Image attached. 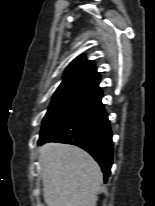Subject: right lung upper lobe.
Segmentation results:
<instances>
[{
    "label": "right lung upper lobe",
    "mask_w": 155,
    "mask_h": 206,
    "mask_svg": "<svg viewBox=\"0 0 155 206\" xmlns=\"http://www.w3.org/2000/svg\"><path fill=\"white\" fill-rule=\"evenodd\" d=\"M99 82L100 76L94 62L79 56L67 68L58 89L88 88L102 92Z\"/></svg>",
    "instance_id": "right-lung-upper-lobe-1"
}]
</instances>
